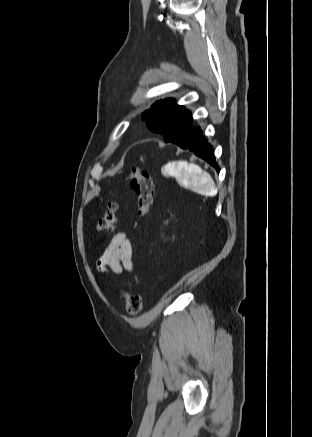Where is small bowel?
<instances>
[{
	"label": "small bowel",
	"instance_id": "1",
	"mask_svg": "<svg viewBox=\"0 0 312 437\" xmlns=\"http://www.w3.org/2000/svg\"><path fill=\"white\" fill-rule=\"evenodd\" d=\"M133 251L130 241L124 232L116 233L109 245L97 261V268L101 272L120 274L123 271L132 272Z\"/></svg>",
	"mask_w": 312,
	"mask_h": 437
}]
</instances>
